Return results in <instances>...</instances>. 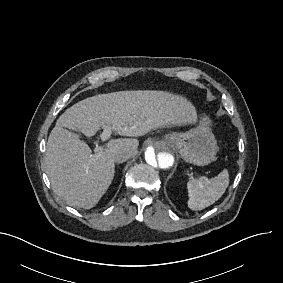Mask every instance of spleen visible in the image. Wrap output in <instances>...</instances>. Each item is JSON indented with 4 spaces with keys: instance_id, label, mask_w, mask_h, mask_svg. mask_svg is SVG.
Wrapping results in <instances>:
<instances>
[{
    "instance_id": "spleen-1",
    "label": "spleen",
    "mask_w": 283,
    "mask_h": 283,
    "mask_svg": "<svg viewBox=\"0 0 283 283\" xmlns=\"http://www.w3.org/2000/svg\"><path fill=\"white\" fill-rule=\"evenodd\" d=\"M230 176L226 170L218 177L199 175L187 182V205L192 210H201L216 202L229 185Z\"/></svg>"
}]
</instances>
